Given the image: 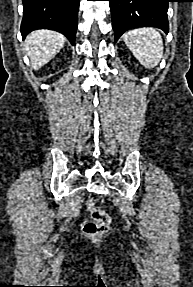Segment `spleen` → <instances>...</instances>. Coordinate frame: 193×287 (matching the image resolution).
<instances>
[{"label":"spleen","mask_w":193,"mask_h":287,"mask_svg":"<svg viewBox=\"0 0 193 287\" xmlns=\"http://www.w3.org/2000/svg\"><path fill=\"white\" fill-rule=\"evenodd\" d=\"M124 42L136 59L146 68H154L163 56L160 33L150 27L133 29L124 34Z\"/></svg>","instance_id":"spleen-1"}]
</instances>
